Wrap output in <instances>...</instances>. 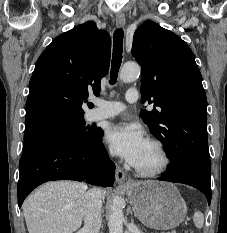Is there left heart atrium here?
Wrapping results in <instances>:
<instances>
[{"label":"left heart atrium","instance_id":"left-heart-atrium-1","mask_svg":"<svg viewBox=\"0 0 227 233\" xmlns=\"http://www.w3.org/2000/svg\"><path fill=\"white\" fill-rule=\"evenodd\" d=\"M105 138L112 151L130 164L136 162L148 143L140 127L131 123L110 126Z\"/></svg>","mask_w":227,"mask_h":233}]
</instances>
